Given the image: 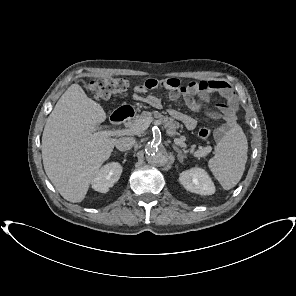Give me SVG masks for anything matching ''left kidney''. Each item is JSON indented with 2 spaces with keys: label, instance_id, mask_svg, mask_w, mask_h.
<instances>
[{
  "label": "left kidney",
  "instance_id": "obj_1",
  "mask_svg": "<svg viewBox=\"0 0 296 296\" xmlns=\"http://www.w3.org/2000/svg\"><path fill=\"white\" fill-rule=\"evenodd\" d=\"M180 183L190 192L200 195H212L215 193V186L205 170L195 167L183 171L179 177Z\"/></svg>",
  "mask_w": 296,
  "mask_h": 296
}]
</instances>
